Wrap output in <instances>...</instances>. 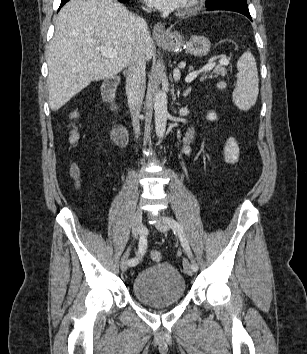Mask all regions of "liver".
<instances>
[{
  "mask_svg": "<svg viewBox=\"0 0 307 354\" xmlns=\"http://www.w3.org/2000/svg\"><path fill=\"white\" fill-rule=\"evenodd\" d=\"M136 15L117 0H71L58 13L48 51L49 106L57 111L91 82L111 78L129 66L137 43ZM117 51L103 57L99 47ZM148 35L144 53L153 56Z\"/></svg>",
  "mask_w": 307,
  "mask_h": 354,
  "instance_id": "6515ba94",
  "label": "liver"
}]
</instances>
